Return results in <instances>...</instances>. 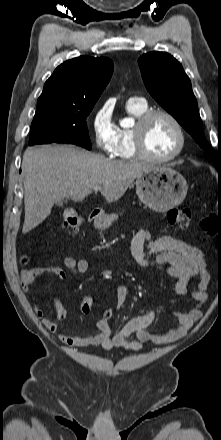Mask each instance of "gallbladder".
I'll use <instances>...</instances> for the list:
<instances>
[{"mask_svg":"<svg viewBox=\"0 0 221 440\" xmlns=\"http://www.w3.org/2000/svg\"><path fill=\"white\" fill-rule=\"evenodd\" d=\"M63 203H64L63 200H58V201L55 202V204L58 205V206H62Z\"/></svg>","mask_w":221,"mask_h":440,"instance_id":"gallbladder-1","label":"gallbladder"}]
</instances>
